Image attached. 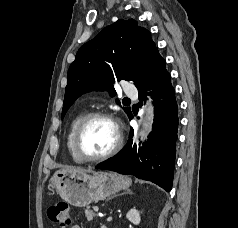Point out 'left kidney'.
I'll list each match as a JSON object with an SVG mask.
<instances>
[{"instance_id": "left-kidney-1", "label": "left kidney", "mask_w": 238, "mask_h": 228, "mask_svg": "<svg viewBox=\"0 0 238 228\" xmlns=\"http://www.w3.org/2000/svg\"><path fill=\"white\" fill-rule=\"evenodd\" d=\"M126 218L134 225H139L141 221L140 213L136 209H131L130 211H128Z\"/></svg>"}]
</instances>
